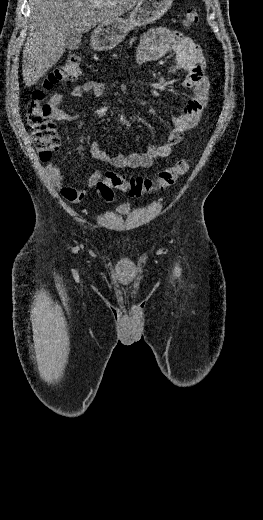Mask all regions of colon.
<instances>
[{
    "label": "colon",
    "mask_w": 263,
    "mask_h": 520,
    "mask_svg": "<svg viewBox=\"0 0 263 520\" xmlns=\"http://www.w3.org/2000/svg\"><path fill=\"white\" fill-rule=\"evenodd\" d=\"M199 21V13L195 7L185 11L183 23L186 27L194 26ZM81 75L80 59L70 56L61 66L51 72L41 88L33 92L28 106L27 122L30 133L42 161H48L60 147L55 123L51 116V107L43 103L45 91L58 83H71ZM191 162L180 159L172 166L161 170L153 178L140 176L129 177L109 171L96 184L102 198L111 202L115 190L125 192L131 197H141L152 192H159L173 186L177 180L188 173Z\"/></svg>",
    "instance_id": "colon-1"
}]
</instances>
